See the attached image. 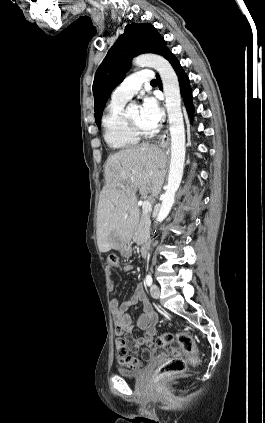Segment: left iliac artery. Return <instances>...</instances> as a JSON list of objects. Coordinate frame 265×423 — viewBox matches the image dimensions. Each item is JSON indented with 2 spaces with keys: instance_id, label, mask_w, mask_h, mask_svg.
<instances>
[{
  "instance_id": "obj_1",
  "label": "left iliac artery",
  "mask_w": 265,
  "mask_h": 423,
  "mask_svg": "<svg viewBox=\"0 0 265 423\" xmlns=\"http://www.w3.org/2000/svg\"><path fill=\"white\" fill-rule=\"evenodd\" d=\"M145 282H146V284L148 286H151V284H152V277H151V275H147L146 276Z\"/></svg>"
}]
</instances>
